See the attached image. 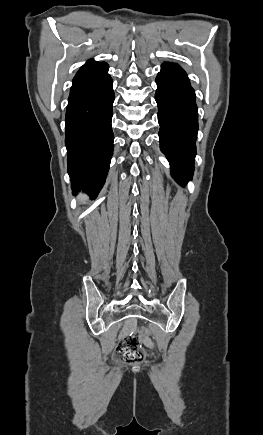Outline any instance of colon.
I'll list each match as a JSON object with an SVG mask.
<instances>
[{
	"label": "colon",
	"mask_w": 263,
	"mask_h": 435,
	"mask_svg": "<svg viewBox=\"0 0 263 435\" xmlns=\"http://www.w3.org/2000/svg\"><path fill=\"white\" fill-rule=\"evenodd\" d=\"M152 331L149 327H140L139 331L124 336L116 347L114 358L118 361L135 364L143 360V352L140 345V339H146L151 335Z\"/></svg>",
	"instance_id": "5ec220e1"
}]
</instances>
